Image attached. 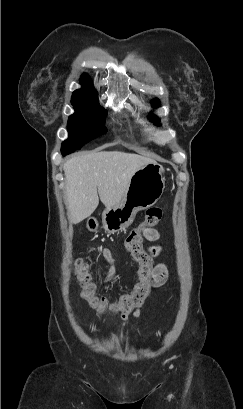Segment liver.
Instances as JSON below:
<instances>
[{"label": "liver", "mask_w": 243, "mask_h": 409, "mask_svg": "<svg viewBox=\"0 0 243 409\" xmlns=\"http://www.w3.org/2000/svg\"><path fill=\"white\" fill-rule=\"evenodd\" d=\"M154 160L121 151L90 152L74 156L63 165L69 221L77 224L97 208L118 205L133 174ZM99 194V197H98Z\"/></svg>", "instance_id": "liver-1"}]
</instances>
